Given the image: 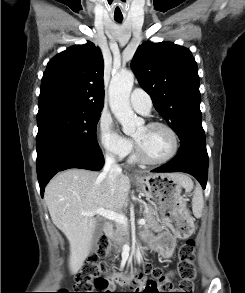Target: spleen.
I'll return each mask as SVG.
<instances>
[{
  "instance_id": "3e777b00",
  "label": "spleen",
  "mask_w": 245,
  "mask_h": 293,
  "mask_svg": "<svg viewBox=\"0 0 245 293\" xmlns=\"http://www.w3.org/2000/svg\"><path fill=\"white\" fill-rule=\"evenodd\" d=\"M204 207L203 193L199 186H196L192 198V211L196 218H200Z\"/></svg>"
}]
</instances>
